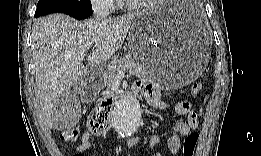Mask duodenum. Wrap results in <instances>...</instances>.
Returning <instances> with one entry per match:
<instances>
[{
	"label": "duodenum",
	"mask_w": 261,
	"mask_h": 156,
	"mask_svg": "<svg viewBox=\"0 0 261 156\" xmlns=\"http://www.w3.org/2000/svg\"><path fill=\"white\" fill-rule=\"evenodd\" d=\"M128 97H129V98H133V97H134V93H133V92H129ZM104 101H105V103L111 105V103L114 102V98H113V97H105V98H104Z\"/></svg>",
	"instance_id": "obj_1"
}]
</instances>
